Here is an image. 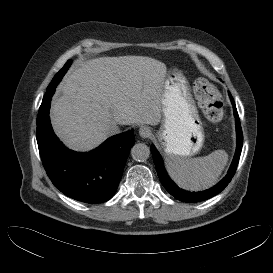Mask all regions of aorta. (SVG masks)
<instances>
[{
    "instance_id": "aorta-1",
    "label": "aorta",
    "mask_w": 273,
    "mask_h": 273,
    "mask_svg": "<svg viewBox=\"0 0 273 273\" xmlns=\"http://www.w3.org/2000/svg\"><path fill=\"white\" fill-rule=\"evenodd\" d=\"M150 149L144 143H137L131 148V156L136 161H145L149 158Z\"/></svg>"
}]
</instances>
